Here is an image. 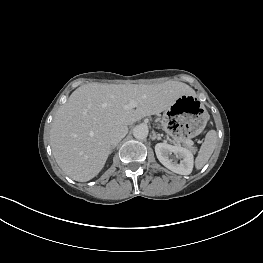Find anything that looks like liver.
<instances>
[{"mask_svg": "<svg viewBox=\"0 0 263 263\" xmlns=\"http://www.w3.org/2000/svg\"><path fill=\"white\" fill-rule=\"evenodd\" d=\"M194 91L188 85L89 83L77 88L56 112L50 130L53 155L71 179L86 182L104 167L111 153L109 136L120 126L165 111L182 95ZM130 101L136 109H126Z\"/></svg>", "mask_w": 263, "mask_h": 263, "instance_id": "liver-1", "label": "liver"}]
</instances>
